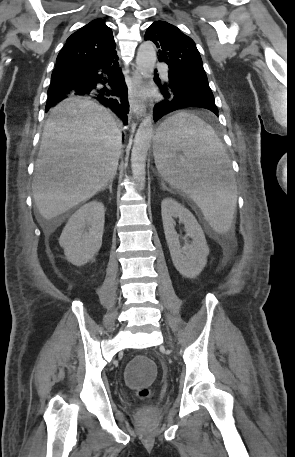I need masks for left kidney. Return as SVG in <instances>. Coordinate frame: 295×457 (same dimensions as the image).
Masks as SVG:
<instances>
[{
	"label": "left kidney",
	"instance_id": "left-kidney-1",
	"mask_svg": "<svg viewBox=\"0 0 295 457\" xmlns=\"http://www.w3.org/2000/svg\"><path fill=\"white\" fill-rule=\"evenodd\" d=\"M161 215L165 238L175 268L187 278L197 277L207 263L209 247L204 232L193 214L172 198L161 203ZM174 218L184 224L186 235L192 242L181 248L179 236L175 230Z\"/></svg>",
	"mask_w": 295,
	"mask_h": 457
}]
</instances>
